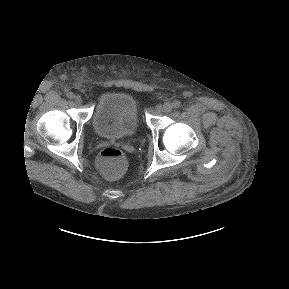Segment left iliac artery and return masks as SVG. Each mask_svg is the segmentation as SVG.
<instances>
[{
	"mask_svg": "<svg viewBox=\"0 0 289 289\" xmlns=\"http://www.w3.org/2000/svg\"><path fill=\"white\" fill-rule=\"evenodd\" d=\"M172 105L174 108H179L181 106V102L179 100H175Z\"/></svg>",
	"mask_w": 289,
	"mask_h": 289,
	"instance_id": "left-iliac-artery-1",
	"label": "left iliac artery"
}]
</instances>
